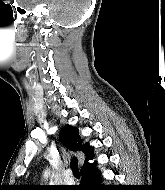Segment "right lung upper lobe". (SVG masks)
<instances>
[{
  "label": "right lung upper lobe",
  "instance_id": "1",
  "mask_svg": "<svg viewBox=\"0 0 165 190\" xmlns=\"http://www.w3.org/2000/svg\"><path fill=\"white\" fill-rule=\"evenodd\" d=\"M60 140L61 142L66 145L69 149L73 151H82L86 155L84 167L91 165L88 163L89 159H92L93 148L89 147V145L82 144L83 140L81 139L78 129L67 125L64 126L60 132ZM27 188H30L27 186Z\"/></svg>",
  "mask_w": 165,
  "mask_h": 190
}]
</instances>
